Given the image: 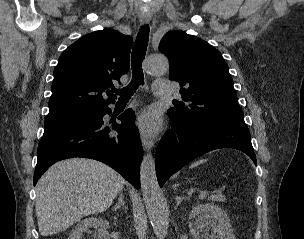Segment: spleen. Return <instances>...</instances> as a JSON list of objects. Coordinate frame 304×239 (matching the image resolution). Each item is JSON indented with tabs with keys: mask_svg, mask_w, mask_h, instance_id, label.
<instances>
[{
	"mask_svg": "<svg viewBox=\"0 0 304 239\" xmlns=\"http://www.w3.org/2000/svg\"><path fill=\"white\" fill-rule=\"evenodd\" d=\"M206 160H199V161H196L194 162L193 164H191L190 168H193V167H196L202 163H204Z\"/></svg>",
	"mask_w": 304,
	"mask_h": 239,
	"instance_id": "1",
	"label": "spleen"
}]
</instances>
